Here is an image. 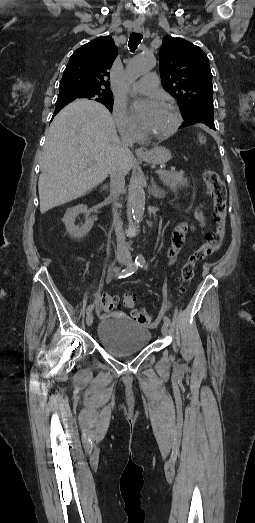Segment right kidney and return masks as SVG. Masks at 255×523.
I'll return each instance as SVG.
<instances>
[{"label":"right kidney","mask_w":255,"mask_h":523,"mask_svg":"<svg viewBox=\"0 0 255 523\" xmlns=\"http://www.w3.org/2000/svg\"><path fill=\"white\" fill-rule=\"evenodd\" d=\"M78 214H86V222L79 228V226H75V218H77ZM89 212L87 210V206H84V204H79V206H74V208H68L66 214H64V218H62V222H64L66 226V230L68 234H70L71 238H84L88 232H90L94 220L92 218H88Z\"/></svg>","instance_id":"1"}]
</instances>
